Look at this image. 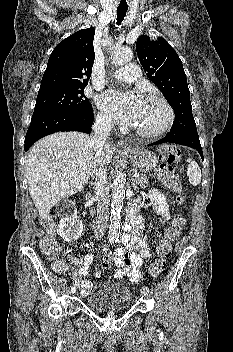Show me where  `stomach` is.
Listing matches in <instances>:
<instances>
[{
  "label": "stomach",
  "mask_w": 233,
  "mask_h": 352,
  "mask_svg": "<svg viewBox=\"0 0 233 352\" xmlns=\"http://www.w3.org/2000/svg\"><path fill=\"white\" fill-rule=\"evenodd\" d=\"M133 166L142 171L148 172L154 169L158 163V157L145 149H134L125 151Z\"/></svg>",
  "instance_id": "0dacf381"
}]
</instances>
